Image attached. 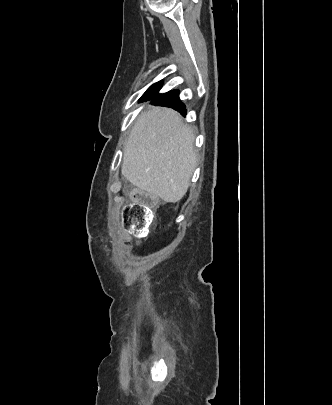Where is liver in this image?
Wrapping results in <instances>:
<instances>
[{
	"mask_svg": "<svg viewBox=\"0 0 332 405\" xmlns=\"http://www.w3.org/2000/svg\"><path fill=\"white\" fill-rule=\"evenodd\" d=\"M194 140L178 112L144 111L125 144L122 173L138 189L175 203L186 194L196 167Z\"/></svg>",
	"mask_w": 332,
	"mask_h": 405,
	"instance_id": "1",
	"label": "liver"
}]
</instances>
